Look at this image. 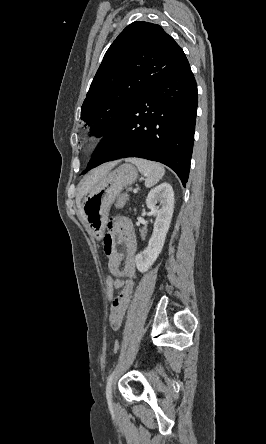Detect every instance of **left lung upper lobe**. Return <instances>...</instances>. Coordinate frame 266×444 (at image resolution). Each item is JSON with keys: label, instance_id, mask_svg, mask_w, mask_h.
Returning a JSON list of instances; mask_svg holds the SVG:
<instances>
[{"label": "left lung upper lobe", "instance_id": "1", "mask_svg": "<svg viewBox=\"0 0 266 444\" xmlns=\"http://www.w3.org/2000/svg\"><path fill=\"white\" fill-rule=\"evenodd\" d=\"M185 57L161 26L131 23L107 50L83 102L81 119L92 134L108 133Z\"/></svg>", "mask_w": 266, "mask_h": 444}]
</instances>
